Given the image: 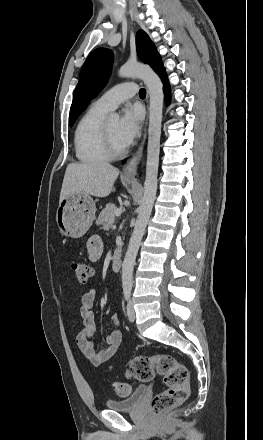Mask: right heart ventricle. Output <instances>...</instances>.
<instances>
[{
	"label": "right heart ventricle",
	"instance_id": "1",
	"mask_svg": "<svg viewBox=\"0 0 263 440\" xmlns=\"http://www.w3.org/2000/svg\"><path fill=\"white\" fill-rule=\"evenodd\" d=\"M108 110L93 103L80 118L74 135L75 154L84 163L108 160L103 148L101 127Z\"/></svg>",
	"mask_w": 263,
	"mask_h": 440
}]
</instances>
